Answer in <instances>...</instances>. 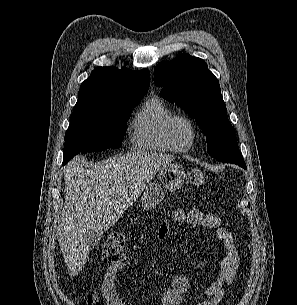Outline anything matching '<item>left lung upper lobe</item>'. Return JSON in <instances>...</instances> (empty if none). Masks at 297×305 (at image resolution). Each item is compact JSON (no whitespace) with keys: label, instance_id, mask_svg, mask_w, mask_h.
<instances>
[{"label":"left lung upper lobe","instance_id":"left-lung-upper-lobe-1","mask_svg":"<svg viewBox=\"0 0 297 305\" xmlns=\"http://www.w3.org/2000/svg\"><path fill=\"white\" fill-rule=\"evenodd\" d=\"M160 95L185 110L202 129L207 152L216 160L245 168L217 78L203 59L181 54L154 69Z\"/></svg>","mask_w":297,"mask_h":305}]
</instances>
